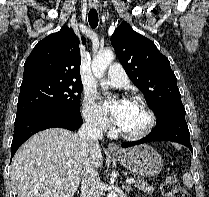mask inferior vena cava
<instances>
[{
	"mask_svg": "<svg viewBox=\"0 0 209 197\" xmlns=\"http://www.w3.org/2000/svg\"><path fill=\"white\" fill-rule=\"evenodd\" d=\"M77 135L88 146L98 145V140L103 138V125L99 119L90 118L80 127ZM81 183V197H101L99 174L93 167L85 170Z\"/></svg>",
	"mask_w": 209,
	"mask_h": 197,
	"instance_id": "obj_1",
	"label": "inferior vena cava"
}]
</instances>
